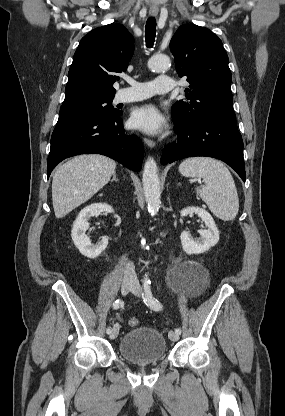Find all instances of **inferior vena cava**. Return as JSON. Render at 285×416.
<instances>
[{"label":"inferior vena cava","mask_w":285,"mask_h":416,"mask_svg":"<svg viewBox=\"0 0 285 416\" xmlns=\"http://www.w3.org/2000/svg\"><path fill=\"white\" fill-rule=\"evenodd\" d=\"M125 274L126 276H136L135 266L134 264H132V262H129V264H126Z\"/></svg>","instance_id":"obj_1"}]
</instances>
